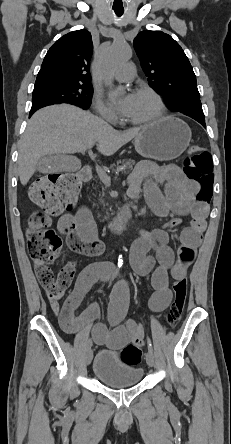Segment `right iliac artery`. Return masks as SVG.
Returning <instances> with one entry per match:
<instances>
[{"label":"right iliac artery","instance_id":"82829eb1","mask_svg":"<svg viewBox=\"0 0 231 444\" xmlns=\"http://www.w3.org/2000/svg\"><path fill=\"white\" fill-rule=\"evenodd\" d=\"M118 273H119L118 270H116V271L112 274L111 281L114 280V279L117 277ZM91 346H92V342L89 340L88 343H87V349H90Z\"/></svg>","mask_w":231,"mask_h":444}]
</instances>
